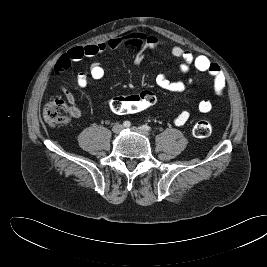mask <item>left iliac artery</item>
<instances>
[{"mask_svg":"<svg viewBox=\"0 0 267 267\" xmlns=\"http://www.w3.org/2000/svg\"><path fill=\"white\" fill-rule=\"evenodd\" d=\"M140 129H142V130H146V131H150V130H151V128H150L149 126H147V125H142V126L140 127Z\"/></svg>","mask_w":267,"mask_h":267,"instance_id":"1","label":"left iliac artery"}]
</instances>
